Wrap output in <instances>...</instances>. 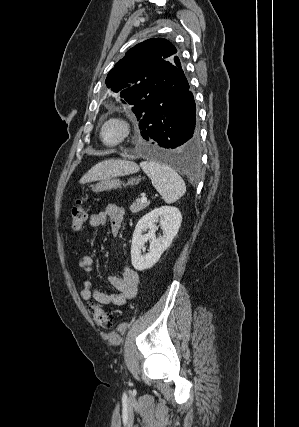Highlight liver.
Here are the masks:
<instances>
[{"label":"liver","mask_w":299,"mask_h":427,"mask_svg":"<svg viewBox=\"0 0 299 427\" xmlns=\"http://www.w3.org/2000/svg\"><path fill=\"white\" fill-rule=\"evenodd\" d=\"M136 163L126 160L109 159L94 165L80 179L81 184L102 180L105 178L127 175L138 170Z\"/></svg>","instance_id":"1"}]
</instances>
